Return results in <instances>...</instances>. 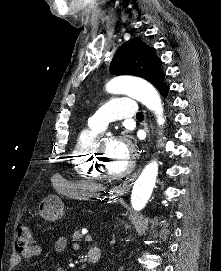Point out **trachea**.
Listing matches in <instances>:
<instances>
[{"instance_id": "3493384b", "label": "trachea", "mask_w": 221, "mask_h": 271, "mask_svg": "<svg viewBox=\"0 0 221 271\" xmlns=\"http://www.w3.org/2000/svg\"><path fill=\"white\" fill-rule=\"evenodd\" d=\"M143 113H141L140 111L138 113H136V118L138 121H142L143 120Z\"/></svg>"}]
</instances>
